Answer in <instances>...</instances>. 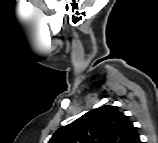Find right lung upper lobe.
<instances>
[{"mask_svg":"<svg viewBox=\"0 0 158 143\" xmlns=\"http://www.w3.org/2000/svg\"><path fill=\"white\" fill-rule=\"evenodd\" d=\"M48 143H139V135L127 116L106 105L59 128Z\"/></svg>","mask_w":158,"mask_h":143,"instance_id":"obj_1","label":"right lung upper lobe"}]
</instances>
